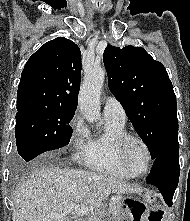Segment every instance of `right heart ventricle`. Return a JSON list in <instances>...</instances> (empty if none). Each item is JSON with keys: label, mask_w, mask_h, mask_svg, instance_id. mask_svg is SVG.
<instances>
[{"label": "right heart ventricle", "mask_w": 190, "mask_h": 221, "mask_svg": "<svg viewBox=\"0 0 190 221\" xmlns=\"http://www.w3.org/2000/svg\"><path fill=\"white\" fill-rule=\"evenodd\" d=\"M125 133V122L105 118L104 131L91 137V151L85 165L98 172L134 177L121 165L117 155V142Z\"/></svg>", "instance_id": "e07e8e85"}]
</instances>
